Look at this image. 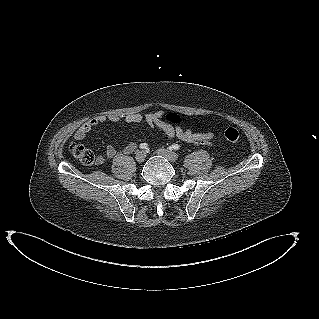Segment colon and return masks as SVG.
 <instances>
[{
	"label": "colon",
	"mask_w": 319,
	"mask_h": 319,
	"mask_svg": "<svg viewBox=\"0 0 319 319\" xmlns=\"http://www.w3.org/2000/svg\"><path fill=\"white\" fill-rule=\"evenodd\" d=\"M165 119L169 124H173V125H179L182 121L181 117L175 113H168L165 116ZM224 135L226 140L229 141L230 143H238L241 139V135L239 131L234 127L226 128ZM69 150L71 154L76 159H78L79 162L82 163L83 165L90 166L95 163V160H96L95 155L90 149L86 148L85 146L81 144L72 143L69 146Z\"/></svg>",
	"instance_id": "colon-1"
}]
</instances>
